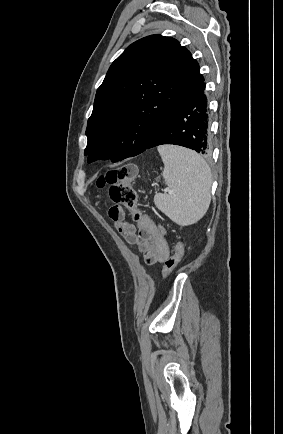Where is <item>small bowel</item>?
<instances>
[{"instance_id": "obj_1", "label": "small bowel", "mask_w": 283, "mask_h": 434, "mask_svg": "<svg viewBox=\"0 0 283 434\" xmlns=\"http://www.w3.org/2000/svg\"><path fill=\"white\" fill-rule=\"evenodd\" d=\"M127 213L121 206H113L109 217L127 243L137 245L145 263H163L169 257V245L165 229L148 215H143L137 226L126 220Z\"/></svg>"}]
</instances>
